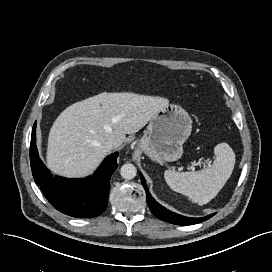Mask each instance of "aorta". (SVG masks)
Wrapping results in <instances>:
<instances>
[{
  "label": "aorta",
  "instance_id": "762f6f07",
  "mask_svg": "<svg viewBox=\"0 0 272 272\" xmlns=\"http://www.w3.org/2000/svg\"><path fill=\"white\" fill-rule=\"evenodd\" d=\"M120 174L124 179L131 180L136 176L137 170L133 164L127 163L121 167Z\"/></svg>",
  "mask_w": 272,
  "mask_h": 272
}]
</instances>
